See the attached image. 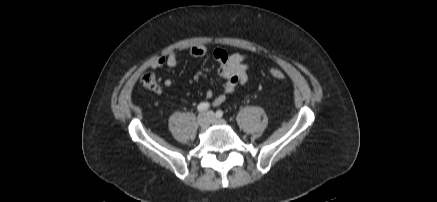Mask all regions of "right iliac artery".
<instances>
[{
    "label": "right iliac artery",
    "mask_w": 437,
    "mask_h": 202,
    "mask_svg": "<svg viewBox=\"0 0 437 202\" xmlns=\"http://www.w3.org/2000/svg\"><path fill=\"white\" fill-rule=\"evenodd\" d=\"M210 107L209 103L207 102H202L197 106V110L198 112H204L206 111L208 108Z\"/></svg>",
    "instance_id": "obj_1"
}]
</instances>
